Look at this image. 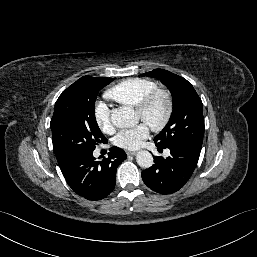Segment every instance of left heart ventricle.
<instances>
[{"label": "left heart ventricle", "instance_id": "obj_1", "mask_svg": "<svg viewBox=\"0 0 257 257\" xmlns=\"http://www.w3.org/2000/svg\"><path fill=\"white\" fill-rule=\"evenodd\" d=\"M165 112V104L162 99H158L147 111L144 116H141L139 113L137 117L143 120L148 125L156 124L161 121Z\"/></svg>", "mask_w": 257, "mask_h": 257}]
</instances>
